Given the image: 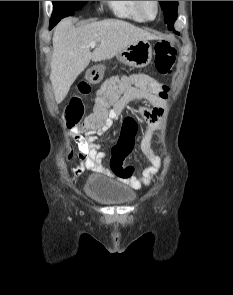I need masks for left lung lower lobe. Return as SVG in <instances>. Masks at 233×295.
<instances>
[{
    "label": "left lung lower lobe",
    "mask_w": 233,
    "mask_h": 295,
    "mask_svg": "<svg viewBox=\"0 0 233 295\" xmlns=\"http://www.w3.org/2000/svg\"><path fill=\"white\" fill-rule=\"evenodd\" d=\"M170 30H174V28H171ZM175 33L179 35V32H175Z\"/></svg>",
    "instance_id": "0a47b994"
}]
</instances>
